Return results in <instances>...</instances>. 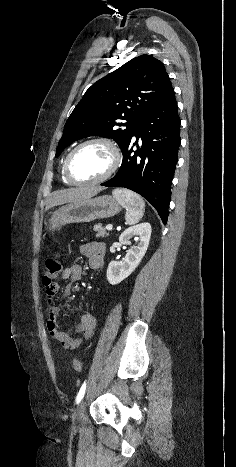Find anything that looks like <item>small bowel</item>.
I'll return each instance as SVG.
<instances>
[{"mask_svg":"<svg viewBox=\"0 0 236 467\" xmlns=\"http://www.w3.org/2000/svg\"><path fill=\"white\" fill-rule=\"evenodd\" d=\"M81 253L87 257L89 267L91 270H100L104 263L106 254L105 245L101 242H90L83 244L80 248ZM82 278V266L74 264L66 267L61 273V280L68 281L69 284L66 286L61 294L62 298L69 295L71 284L79 281ZM61 286L59 283H54L52 286L47 288L46 295L49 300L48 303V319H47V330L50 337L60 343L62 347L68 350H75L80 347L84 339H88L92 336L93 331L96 327L95 317L87 311L83 306L75 307L79 312L80 318L79 323L76 326V333L82 337H71L65 332L61 331L58 325V316L60 312V306L53 302L54 297L60 291Z\"/></svg>","mask_w":236,"mask_h":467,"instance_id":"c3829d8e","label":"small bowel"}]
</instances>
